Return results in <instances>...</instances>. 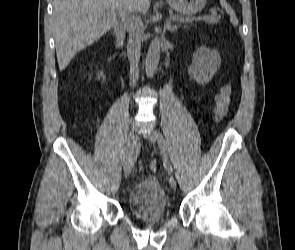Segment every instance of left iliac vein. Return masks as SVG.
<instances>
[{"instance_id": "1", "label": "left iliac vein", "mask_w": 295, "mask_h": 250, "mask_svg": "<svg viewBox=\"0 0 295 250\" xmlns=\"http://www.w3.org/2000/svg\"><path fill=\"white\" fill-rule=\"evenodd\" d=\"M146 140L151 144H156V132L154 130H151L150 132L145 134ZM168 158V155H167ZM170 186L173 190H176L177 184L174 178H170Z\"/></svg>"}]
</instances>
